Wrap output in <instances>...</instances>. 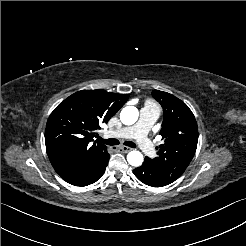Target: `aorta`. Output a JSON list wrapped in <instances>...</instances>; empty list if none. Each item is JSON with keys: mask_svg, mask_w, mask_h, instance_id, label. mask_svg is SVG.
I'll use <instances>...</instances> for the list:
<instances>
[{"mask_svg": "<svg viewBox=\"0 0 246 246\" xmlns=\"http://www.w3.org/2000/svg\"><path fill=\"white\" fill-rule=\"evenodd\" d=\"M139 117V111L134 106H126L121 110L120 120L125 125L134 124ZM143 155L139 151H131L127 155V161L131 166L139 167L143 163Z\"/></svg>", "mask_w": 246, "mask_h": 246, "instance_id": "aorta-1", "label": "aorta"}]
</instances>
